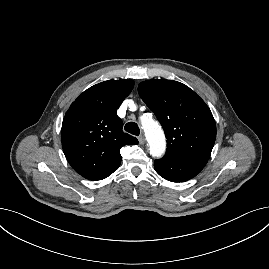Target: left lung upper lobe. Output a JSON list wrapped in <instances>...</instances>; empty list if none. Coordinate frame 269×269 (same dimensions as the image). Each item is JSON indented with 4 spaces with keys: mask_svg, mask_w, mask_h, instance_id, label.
<instances>
[{
    "mask_svg": "<svg viewBox=\"0 0 269 269\" xmlns=\"http://www.w3.org/2000/svg\"><path fill=\"white\" fill-rule=\"evenodd\" d=\"M138 92L164 129L166 155L209 159L216 124L208 106L192 89L161 79L141 82Z\"/></svg>",
    "mask_w": 269,
    "mask_h": 269,
    "instance_id": "obj_1",
    "label": "left lung upper lobe"
}]
</instances>
